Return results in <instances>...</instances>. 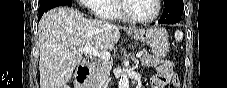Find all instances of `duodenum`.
Returning <instances> with one entry per match:
<instances>
[{
  "mask_svg": "<svg viewBox=\"0 0 227 88\" xmlns=\"http://www.w3.org/2000/svg\"><path fill=\"white\" fill-rule=\"evenodd\" d=\"M91 71V62L83 61L77 70L76 82L81 86V88L85 87L87 79L90 75Z\"/></svg>",
  "mask_w": 227,
  "mask_h": 88,
  "instance_id": "obj_1",
  "label": "duodenum"
}]
</instances>
